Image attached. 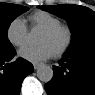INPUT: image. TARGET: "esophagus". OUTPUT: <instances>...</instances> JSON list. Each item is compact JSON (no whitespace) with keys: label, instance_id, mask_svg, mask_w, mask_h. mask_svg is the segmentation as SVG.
Segmentation results:
<instances>
[{"label":"esophagus","instance_id":"1","mask_svg":"<svg viewBox=\"0 0 95 95\" xmlns=\"http://www.w3.org/2000/svg\"><path fill=\"white\" fill-rule=\"evenodd\" d=\"M34 69H38L40 66V63L34 62L33 63Z\"/></svg>","mask_w":95,"mask_h":95}]
</instances>
